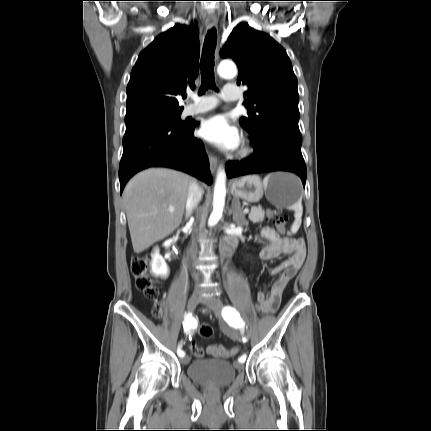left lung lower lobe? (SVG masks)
Segmentation results:
<instances>
[{"label": "left lung lower lobe", "mask_w": 431, "mask_h": 431, "mask_svg": "<svg viewBox=\"0 0 431 431\" xmlns=\"http://www.w3.org/2000/svg\"><path fill=\"white\" fill-rule=\"evenodd\" d=\"M300 132L272 127L257 140H252L255 153L242 161L226 166L229 178L261 172L288 171L296 173L305 186L306 165L301 153Z\"/></svg>", "instance_id": "0a47b994"}]
</instances>
